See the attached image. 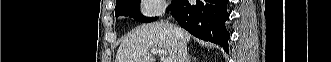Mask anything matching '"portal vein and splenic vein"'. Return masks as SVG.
<instances>
[{"instance_id":"18ae733b","label":"portal vein and splenic vein","mask_w":331,"mask_h":62,"mask_svg":"<svg viewBox=\"0 0 331 62\" xmlns=\"http://www.w3.org/2000/svg\"><path fill=\"white\" fill-rule=\"evenodd\" d=\"M151 53L152 54H163V55H167V52L164 49L153 48V49H151ZM163 62H172V59L170 57H166V58H164Z\"/></svg>"}]
</instances>
